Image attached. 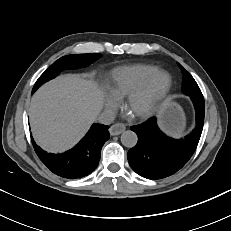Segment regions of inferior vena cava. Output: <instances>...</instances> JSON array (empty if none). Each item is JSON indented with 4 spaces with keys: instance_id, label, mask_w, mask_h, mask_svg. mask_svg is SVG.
Here are the masks:
<instances>
[{
    "instance_id": "1",
    "label": "inferior vena cava",
    "mask_w": 231,
    "mask_h": 231,
    "mask_svg": "<svg viewBox=\"0 0 231 231\" xmlns=\"http://www.w3.org/2000/svg\"><path fill=\"white\" fill-rule=\"evenodd\" d=\"M114 119H115V112L111 110H105L98 117L99 122L105 125L111 124L114 121Z\"/></svg>"
}]
</instances>
